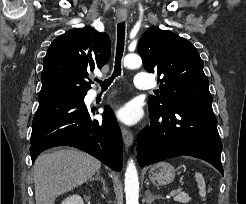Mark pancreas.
<instances>
[{"instance_id": "cf45deb5", "label": "pancreas", "mask_w": 246, "mask_h": 204, "mask_svg": "<svg viewBox=\"0 0 246 204\" xmlns=\"http://www.w3.org/2000/svg\"><path fill=\"white\" fill-rule=\"evenodd\" d=\"M174 199L175 201L180 202V203H187L191 200L190 197L186 193H180Z\"/></svg>"}]
</instances>
